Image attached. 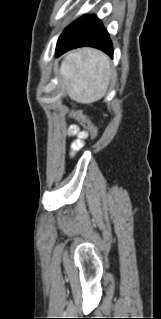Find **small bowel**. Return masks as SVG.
<instances>
[{
    "mask_svg": "<svg viewBox=\"0 0 161 319\" xmlns=\"http://www.w3.org/2000/svg\"><path fill=\"white\" fill-rule=\"evenodd\" d=\"M68 135L74 138L73 142L71 143L72 151L78 149L81 146L83 139L86 138V133L80 130V128L75 124L69 125Z\"/></svg>",
    "mask_w": 161,
    "mask_h": 319,
    "instance_id": "1",
    "label": "small bowel"
}]
</instances>
